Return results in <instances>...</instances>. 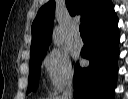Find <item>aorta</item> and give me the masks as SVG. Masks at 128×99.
I'll return each mask as SVG.
<instances>
[{"mask_svg":"<svg viewBox=\"0 0 128 99\" xmlns=\"http://www.w3.org/2000/svg\"><path fill=\"white\" fill-rule=\"evenodd\" d=\"M53 43L57 47H60L63 44V41L61 39L60 32L58 29L55 31V34L53 36Z\"/></svg>","mask_w":128,"mask_h":99,"instance_id":"obj_1","label":"aorta"}]
</instances>
